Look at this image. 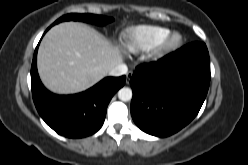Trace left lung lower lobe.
Wrapping results in <instances>:
<instances>
[{
    "label": "left lung lower lobe",
    "mask_w": 248,
    "mask_h": 165,
    "mask_svg": "<svg viewBox=\"0 0 248 165\" xmlns=\"http://www.w3.org/2000/svg\"><path fill=\"white\" fill-rule=\"evenodd\" d=\"M210 59L203 42H193L157 62L136 68L130 79L131 115L144 132L167 137L198 114L210 84Z\"/></svg>",
    "instance_id": "0a47b994"
}]
</instances>
